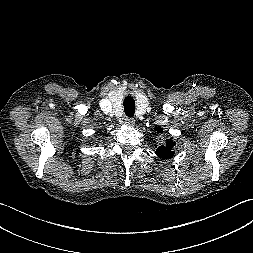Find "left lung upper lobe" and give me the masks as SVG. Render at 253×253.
<instances>
[{
  "label": "left lung upper lobe",
  "mask_w": 253,
  "mask_h": 253,
  "mask_svg": "<svg viewBox=\"0 0 253 253\" xmlns=\"http://www.w3.org/2000/svg\"><path fill=\"white\" fill-rule=\"evenodd\" d=\"M155 130L158 133H162V129L160 127H155ZM175 145V143L171 140H167L165 146H160L156 150V155L160 158L166 159L171 158L174 155V152L172 151V147Z\"/></svg>",
  "instance_id": "5c2ea615"
}]
</instances>
